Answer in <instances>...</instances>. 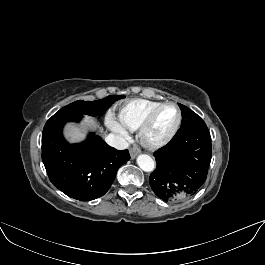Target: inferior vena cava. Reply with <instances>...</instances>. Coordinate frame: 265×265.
I'll return each instance as SVG.
<instances>
[{
	"label": "inferior vena cava",
	"instance_id": "602c4592",
	"mask_svg": "<svg viewBox=\"0 0 265 265\" xmlns=\"http://www.w3.org/2000/svg\"><path fill=\"white\" fill-rule=\"evenodd\" d=\"M105 141L108 145L118 149V150H123L128 147L127 141L121 137L120 135L117 134H109L106 138Z\"/></svg>",
	"mask_w": 265,
	"mask_h": 265
}]
</instances>
